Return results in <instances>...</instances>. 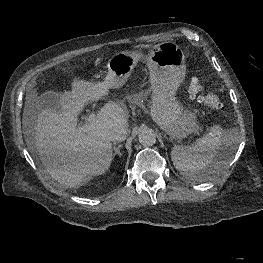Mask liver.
<instances>
[{"mask_svg": "<svg viewBox=\"0 0 263 263\" xmlns=\"http://www.w3.org/2000/svg\"><path fill=\"white\" fill-rule=\"evenodd\" d=\"M71 86V91L59 94V111L42 109L37 116L33 115L34 99L28 94L23 126L25 133L30 128L35 132V148L46 173L61 187L75 189L110 167L113 153L109 132L114 127H127L128 110L123 104L108 102L87 131H80L76 125L83 107L88 101L108 96L110 87L76 77Z\"/></svg>", "mask_w": 263, "mask_h": 263, "instance_id": "1", "label": "liver"}]
</instances>
